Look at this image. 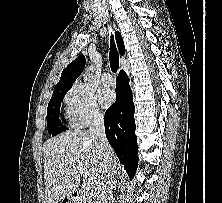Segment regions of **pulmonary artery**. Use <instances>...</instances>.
<instances>
[{"label":"pulmonary artery","mask_w":222,"mask_h":203,"mask_svg":"<svg viewBox=\"0 0 222 203\" xmlns=\"http://www.w3.org/2000/svg\"><path fill=\"white\" fill-rule=\"evenodd\" d=\"M101 83L104 86H110L113 83L112 76L109 72H105L101 77Z\"/></svg>","instance_id":"1"}]
</instances>
